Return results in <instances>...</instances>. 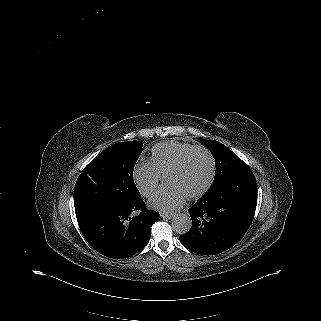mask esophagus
Instances as JSON below:
<instances>
[{"label": "esophagus", "mask_w": 321, "mask_h": 321, "mask_svg": "<svg viewBox=\"0 0 321 321\" xmlns=\"http://www.w3.org/2000/svg\"><path fill=\"white\" fill-rule=\"evenodd\" d=\"M161 217L163 219H171L173 217V214H169V213H162Z\"/></svg>", "instance_id": "34e87169"}]
</instances>
